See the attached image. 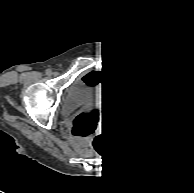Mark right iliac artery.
<instances>
[{
    "mask_svg": "<svg viewBox=\"0 0 194 193\" xmlns=\"http://www.w3.org/2000/svg\"><path fill=\"white\" fill-rule=\"evenodd\" d=\"M46 74L50 75L51 74V70H46Z\"/></svg>",
    "mask_w": 194,
    "mask_h": 193,
    "instance_id": "right-iliac-artery-1",
    "label": "right iliac artery"
}]
</instances>
